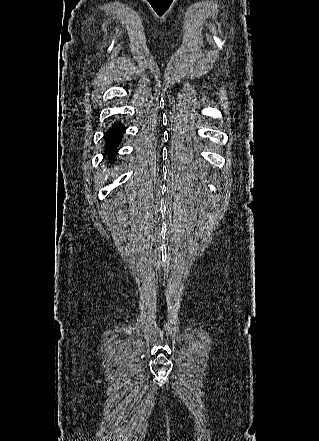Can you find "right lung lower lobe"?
Returning a JSON list of instances; mask_svg holds the SVG:
<instances>
[{
    "mask_svg": "<svg viewBox=\"0 0 319 441\" xmlns=\"http://www.w3.org/2000/svg\"><path fill=\"white\" fill-rule=\"evenodd\" d=\"M125 130H126L125 126L120 121H116L111 125V127L106 132V137H105L106 151L112 152L108 158L110 164H112V162L115 161L116 154H114L113 152L116 151V148L121 142Z\"/></svg>",
    "mask_w": 319,
    "mask_h": 441,
    "instance_id": "right-lung-lower-lobe-1",
    "label": "right lung lower lobe"
}]
</instances>
